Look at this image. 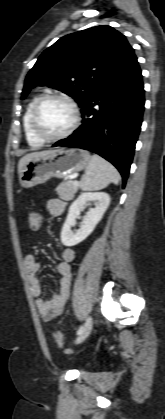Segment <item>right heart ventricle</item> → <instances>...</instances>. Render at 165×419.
Returning a JSON list of instances; mask_svg holds the SVG:
<instances>
[{
  "label": "right heart ventricle",
  "instance_id": "right-heart-ventricle-1",
  "mask_svg": "<svg viewBox=\"0 0 165 419\" xmlns=\"http://www.w3.org/2000/svg\"><path fill=\"white\" fill-rule=\"evenodd\" d=\"M38 96H34L27 104L23 115V129L27 143L32 147H40L43 141L36 137L31 129L30 115L34 103L37 101Z\"/></svg>",
  "mask_w": 165,
  "mask_h": 419
}]
</instances>
